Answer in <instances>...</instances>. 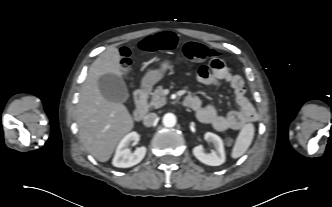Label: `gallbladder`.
I'll list each match as a JSON object with an SVG mask.
<instances>
[{
    "instance_id": "obj_1",
    "label": "gallbladder",
    "mask_w": 332,
    "mask_h": 207,
    "mask_svg": "<svg viewBox=\"0 0 332 207\" xmlns=\"http://www.w3.org/2000/svg\"><path fill=\"white\" fill-rule=\"evenodd\" d=\"M98 87L101 95L108 101L124 103L129 98L125 82L117 75L105 74L100 76Z\"/></svg>"
}]
</instances>
